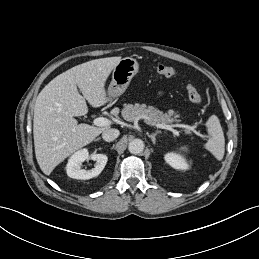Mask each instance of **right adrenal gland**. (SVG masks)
Here are the masks:
<instances>
[{
    "mask_svg": "<svg viewBox=\"0 0 259 259\" xmlns=\"http://www.w3.org/2000/svg\"><path fill=\"white\" fill-rule=\"evenodd\" d=\"M99 140H101V138H97L95 141H99Z\"/></svg>",
    "mask_w": 259,
    "mask_h": 259,
    "instance_id": "1",
    "label": "right adrenal gland"
}]
</instances>
